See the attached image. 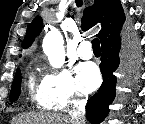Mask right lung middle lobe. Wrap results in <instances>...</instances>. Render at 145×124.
<instances>
[{"label":"right lung middle lobe","instance_id":"1","mask_svg":"<svg viewBox=\"0 0 145 124\" xmlns=\"http://www.w3.org/2000/svg\"><path fill=\"white\" fill-rule=\"evenodd\" d=\"M20 89H21V72L19 69H17L9 97L11 102H14L18 99V96L20 95Z\"/></svg>","mask_w":145,"mask_h":124}]
</instances>
